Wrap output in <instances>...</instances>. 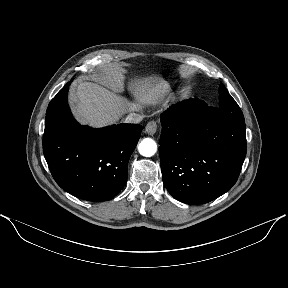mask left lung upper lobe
Listing matches in <instances>:
<instances>
[{
  "mask_svg": "<svg viewBox=\"0 0 288 288\" xmlns=\"http://www.w3.org/2000/svg\"><path fill=\"white\" fill-rule=\"evenodd\" d=\"M219 107L211 108L213 114L219 118L227 119L239 125L245 126V120L240 107L230 96L225 86L221 83L219 87Z\"/></svg>",
  "mask_w": 288,
  "mask_h": 288,
  "instance_id": "5c2ea615",
  "label": "left lung upper lobe"
}]
</instances>
